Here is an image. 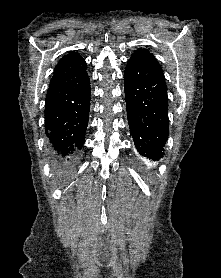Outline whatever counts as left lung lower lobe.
I'll use <instances>...</instances> for the list:
<instances>
[{"label":"left lung lower lobe","mask_w":221,"mask_h":278,"mask_svg":"<svg viewBox=\"0 0 221 278\" xmlns=\"http://www.w3.org/2000/svg\"><path fill=\"white\" fill-rule=\"evenodd\" d=\"M125 97L130 134L138 152L149 159L163 156L168 139V97L165 77L154 59L128 61Z\"/></svg>","instance_id":"0a47b994"}]
</instances>
